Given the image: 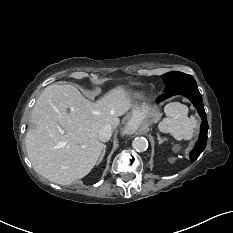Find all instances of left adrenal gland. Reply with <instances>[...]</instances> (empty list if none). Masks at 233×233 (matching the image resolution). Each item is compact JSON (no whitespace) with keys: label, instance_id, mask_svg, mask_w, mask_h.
I'll use <instances>...</instances> for the list:
<instances>
[{"label":"left adrenal gland","instance_id":"obj_1","mask_svg":"<svg viewBox=\"0 0 233 233\" xmlns=\"http://www.w3.org/2000/svg\"><path fill=\"white\" fill-rule=\"evenodd\" d=\"M158 139L161 141V138H160V136H158Z\"/></svg>","mask_w":233,"mask_h":233}]
</instances>
